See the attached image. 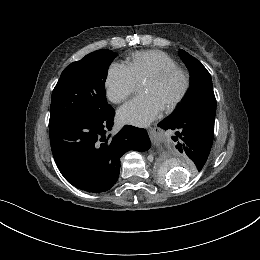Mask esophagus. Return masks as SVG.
<instances>
[{"label": "esophagus", "mask_w": 260, "mask_h": 260, "mask_svg": "<svg viewBox=\"0 0 260 260\" xmlns=\"http://www.w3.org/2000/svg\"><path fill=\"white\" fill-rule=\"evenodd\" d=\"M159 132H160V128L157 125L150 127L148 129V133L151 139L155 138L159 134Z\"/></svg>", "instance_id": "1"}]
</instances>
